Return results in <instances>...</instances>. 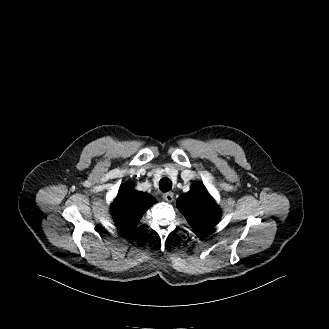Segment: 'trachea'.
I'll list each match as a JSON object with an SVG mask.
<instances>
[{
    "label": "trachea",
    "mask_w": 329,
    "mask_h": 329,
    "mask_svg": "<svg viewBox=\"0 0 329 329\" xmlns=\"http://www.w3.org/2000/svg\"><path fill=\"white\" fill-rule=\"evenodd\" d=\"M159 187L162 192H168L172 188V181L169 178L164 177L160 180Z\"/></svg>",
    "instance_id": "trachea-1"
}]
</instances>
